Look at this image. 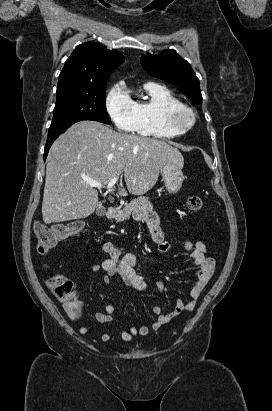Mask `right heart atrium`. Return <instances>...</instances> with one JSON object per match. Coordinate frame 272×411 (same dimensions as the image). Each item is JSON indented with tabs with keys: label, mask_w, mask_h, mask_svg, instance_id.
<instances>
[{
	"label": "right heart atrium",
	"mask_w": 272,
	"mask_h": 411,
	"mask_svg": "<svg viewBox=\"0 0 272 411\" xmlns=\"http://www.w3.org/2000/svg\"><path fill=\"white\" fill-rule=\"evenodd\" d=\"M105 109L118 130L133 131L135 126L134 101L124 86L116 84L109 89L105 98Z\"/></svg>",
	"instance_id": "d8ad5b80"
}]
</instances>
